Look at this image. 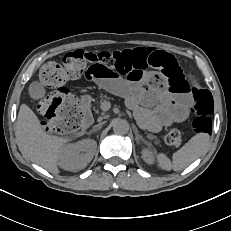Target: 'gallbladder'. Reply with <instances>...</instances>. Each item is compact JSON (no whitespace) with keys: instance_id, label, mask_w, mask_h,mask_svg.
Returning a JSON list of instances; mask_svg holds the SVG:
<instances>
[{"instance_id":"1","label":"gallbladder","mask_w":231,"mask_h":231,"mask_svg":"<svg viewBox=\"0 0 231 231\" xmlns=\"http://www.w3.org/2000/svg\"><path fill=\"white\" fill-rule=\"evenodd\" d=\"M29 95L32 99H39L45 95V89L38 82H32L29 87Z\"/></svg>"}]
</instances>
